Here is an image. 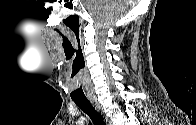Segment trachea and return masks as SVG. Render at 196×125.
Here are the masks:
<instances>
[{"mask_svg":"<svg viewBox=\"0 0 196 125\" xmlns=\"http://www.w3.org/2000/svg\"><path fill=\"white\" fill-rule=\"evenodd\" d=\"M74 102L83 112H85L90 117L94 125H104L102 117L92 107L88 99L74 100Z\"/></svg>","mask_w":196,"mask_h":125,"instance_id":"trachea-1","label":"trachea"}]
</instances>
